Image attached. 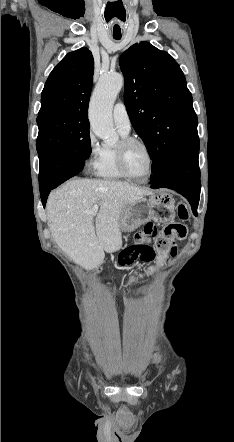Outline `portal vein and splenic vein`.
I'll use <instances>...</instances> for the list:
<instances>
[{
    "instance_id": "18ae733b",
    "label": "portal vein and splenic vein",
    "mask_w": 234,
    "mask_h": 442,
    "mask_svg": "<svg viewBox=\"0 0 234 442\" xmlns=\"http://www.w3.org/2000/svg\"><path fill=\"white\" fill-rule=\"evenodd\" d=\"M98 209H99L98 205H94L92 210L90 211V213L93 215H96L98 212Z\"/></svg>"
}]
</instances>
